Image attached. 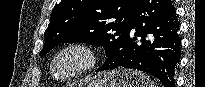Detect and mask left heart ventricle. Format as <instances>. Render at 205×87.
Masks as SVG:
<instances>
[{
  "label": "left heart ventricle",
  "mask_w": 205,
  "mask_h": 87,
  "mask_svg": "<svg viewBox=\"0 0 205 87\" xmlns=\"http://www.w3.org/2000/svg\"><path fill=\"white\" fill-rule=\"evenodd\" d=\"M82 61L83 57L78 52H66L56 60L54 71L58 76L65 75L78 67Z\"/></svg>",
  "instance_id": "obj_1"
}]
</instances>
